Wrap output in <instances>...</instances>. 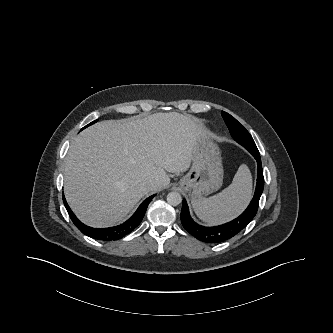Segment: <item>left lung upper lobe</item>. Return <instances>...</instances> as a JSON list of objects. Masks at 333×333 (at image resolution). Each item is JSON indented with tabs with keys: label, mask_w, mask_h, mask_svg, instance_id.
Listing matches in <instances>:
<instances>
[{
	"label": "left lung upper lobe",
	"mask_w": 333,
	"mask_h": 333,
	"mask_svg": "<svg viewBox=\"0 0 333 333\" xmlns=\"http://www.w3.org/2000/svg\"><path fill=\"white\" fill-rule=\"evenodd\" d=\"M221 115L235 141L244 146L247 150H258L252 136L243 125L224 111L221 112Z\"/></svg>",
	"instance_id": "obj_1"
}]
</instances>
